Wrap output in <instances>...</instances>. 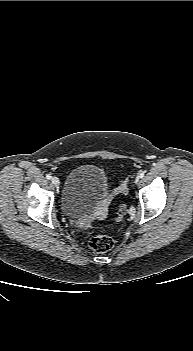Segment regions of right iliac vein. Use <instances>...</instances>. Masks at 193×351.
I'll return each instance as SVG.
<instances>
[{"instance_id": "obj_1", "label": "right iliac vein", "mask_w": 193, "mask_h": 351, "mask_svg": "<svg viewBox=\"0 0 193 351\" xmlns=\"http://www.w3.org/2000/svg\"><path fill=\"white\" fill-rule=\"evenodd\" d=\"M51 182L56 187L59 186V184H60L59 179L57 177H55V176L51 178Z\"/></svg>"}]
</instances>
